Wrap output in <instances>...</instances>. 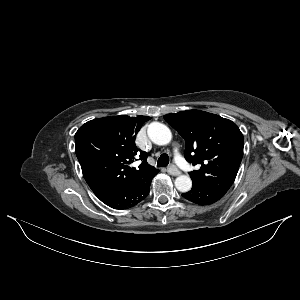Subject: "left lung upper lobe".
I'll return each mask as SVG.
<instances>
[{"mask_svg": "<svg viewBox=\"0 0 300 300\" xmlns=\"http://www.w3.org/2000/svg\"><path fill=\"white\" fill-rule=\"evenodd\" d=\"M184 139V156L200 169L190 172L193 184L227 192L243 155L244 139L232 121L199 110L164 116Z\"/></svg>", "mask_w": 300, "mask_h": 300, "instance_id": "5c2ea615", "label": "left lung upper lobe"}]
</instances>
